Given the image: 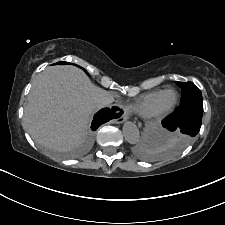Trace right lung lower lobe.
Segmentation results:
<instances>
[{"label":"right lung lower lobe","mask_w":225,"mask_h":225,"mask_svg":"<svg viewBox=\"0 0 225 225\" xmlns=\"http://www.w3.org/2000/svg\"><path fill=\"white\" fill-rule=\"evenodd\" d=\"M117 116V113H115L114 107L112 109H103L100 110L95 116L94 120L92 122V129L96 130L101 124L104 122L114 118Z\"/></svg>","instance_id":"98d812e1"}]
</instances>
